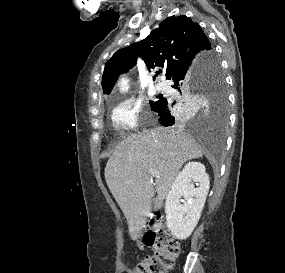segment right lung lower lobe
Returning a JSON list of instances; mask_svg holds the SVG:
<instances>
[{
    "label": "right lung lower lobe",
    "instance_id": "98d812e1",
    "mask_svg": "<svg viewBox=\"0 0 285 273\" xmlns=\"http://www.w3.org/2000/svg\"><path fill=\"white\" fill-rule=\"evenodd\" d=\"M208 63V57H202L193 67L187 68L173 77L171 80L174 85L173 88L180 93L190 90L193 85L200 81ZM185 108H179V112H175L168 99H160L152 110L159 115V122L162 125L170 126L179 121Z\"/></svg>",
    "mask_w": 285,
    "mask_h": 273
}]
</instances>
